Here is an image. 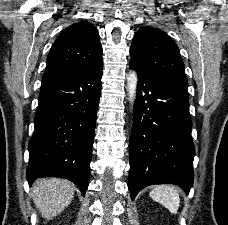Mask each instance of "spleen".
<instances>
[{
    "instance_id": "3e777b00",
    "label": "spleen",
    "mask_w": 228,
    "mask_h": 225,
    "mask_svg": "<svg viewBox=\"0 0 228 225\" xmlns=\"http://www.w3.org/2000/svg\"><path fill=\"white\" fill-rule=\"evenodd\" d=\"M149 197L176 215L180 205V197L173 185H158L152 189Z\"/></svg>"
}]
</instances>
